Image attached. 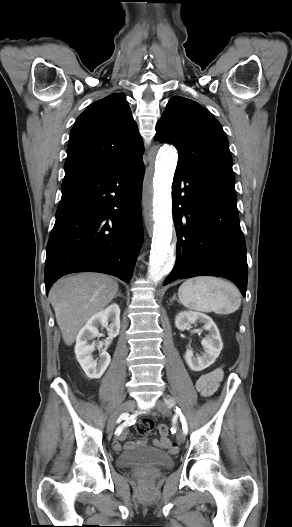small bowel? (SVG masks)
Wrapping results in <instances>:
<instances>
[{
	"label": "small bowel",
	"instance_id": "obj_1",
	"mask_svg": "<svg viewBox=\"0 0 292 527\" xmlns=\"http://www.w3.org/2000/svg\"><path fill=\"white\" fill-rule=\"evenodd\" d=\"M222 376H223V371L220 368H216L204 374L196 382L197 390L204 397L212 395L217 390L219 386V382L222 379ZM158 427L160 429V433H159L160 439L154 440L153 444L158 447H167V448H171L175 450L177 448V445L168 439V435L171 432L168 422L160 421L158 424ZM126 436H127V428L126 430H122L117 440L113 442L114 450L116 451L122 450L123 447H122L121 442L125 440ZM146 443H147L146 440H140L138 442H128L125 445V448L131 449L135 447V445L137 444L144 445Z\"/></svg>",
	"mask_w": 292,
	"mask_h": 527
}]
</instances>
